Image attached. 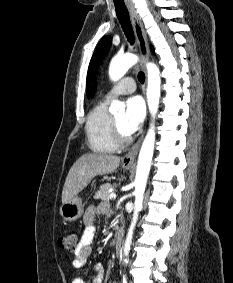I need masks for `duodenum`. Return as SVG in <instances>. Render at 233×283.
<instances>
[{"mask_svg":"<svg viewBox=\"0 0 233 283\" xmlns=\"http://www.w3.org/2000/svg\"><path fill=\"white\" fill-rule=\"evenodd\" d=\"M114 248H115L116 256H119L121 254V249H122V232L121 231H118L115 234Z\"/></svg>","mask_w":233,"mask_h":283,"instance_id":"410a0bca","label":"duodenum"}]
</instances>
